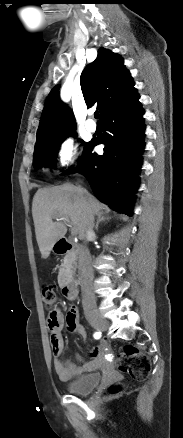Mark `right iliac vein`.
Segmentation results:
<instances>
[{"mask_svg":"<svg viewBox=\"0 0 183 438\" xmlns=\"http://www.w3.org/2000/svg\"><path fill=\"white\" fill-rule=\"evenodd\" d=\"M89 323L97 330H106L108 328V322L103 317L94 314L89 318Z\"/></svg>","mask_w":183,"mask_h":438,"instance_id":"obj_1","label":"right iliac vein"}]
</instances>
